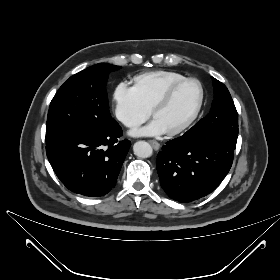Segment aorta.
I'll return each instance as SVG.
<instances>
[{"mask_svg":"<svg viewBox=\"0 0 280 280\" xmlns=\"http://www.w3.org/2000/svg\"><path fill=\"white\" fill-rule=\"evenodd\" d=\"M134 154L140 158H148L153 154L151 145L146 141H138L133 146Z\"/></svg>","mask_w":280,"mask_h":280,"instance_id":"obj_1","label":"aorta"}]
</instances>
